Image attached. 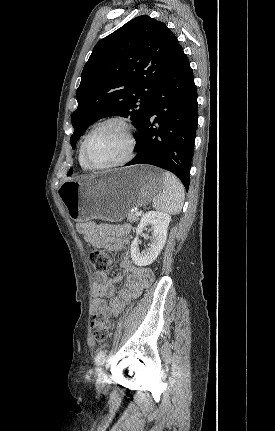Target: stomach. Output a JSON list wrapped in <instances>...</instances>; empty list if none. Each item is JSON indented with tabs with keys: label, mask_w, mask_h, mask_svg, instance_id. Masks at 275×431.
Masks as SVG:
<instances>
[{
	"label": "stomach",
	"mask_w": 275,
	"mask_h": 431,
	"mask_svg": "<svg viewBox=\"0 0 275 431\" xmlns=\"http://www.w3.org/2000/svg\"><path fill=\"white\" fill-rule=\"evenodd\" d=\"M163 187L162 171L149 165L115 169L79 180H66L58 190L70 218L120 221L131 209L145 206Z\"/></svg>",
	"instance_id": "1"
}]
</instances>
